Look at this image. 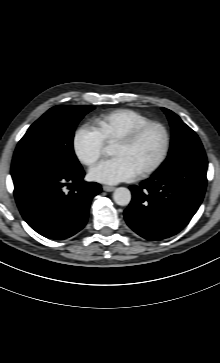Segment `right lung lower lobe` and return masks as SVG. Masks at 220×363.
I'll use <instances>...</instances> for the list:
<instances>
[{
    "label": "right lung lower lobe",
    "instance_id": "obj_1",
    "mask_svg": "<svg viewBox=\"0 0 220 363\" xmlns=\"http://www.w3.org/2000/svg\"><path fill=\"white\" fill-rule=\"evenodd\" d=\"M81 169L72 174L38 173L14 182V195L24 220L39 234L65 239L86 224L92 198L101 186L84 182ZM75 187L64 192V186Z\"/></svg>",
    "mask_w": 220,
    "mask_h": 363
}]
</instances>
